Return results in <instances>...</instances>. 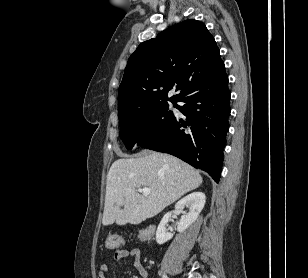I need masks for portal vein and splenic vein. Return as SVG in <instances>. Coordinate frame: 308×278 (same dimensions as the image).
I'll return each instance as SVG.
<instances>
[{"mask_svg": "<svg viewBox=\"0 0 308 278\" xmlns=\"http://www.w3.org/2000/svg\"><path fill=\"white\" fill-rule=\"evenodd\" d=\"M138 192H141L144 195H149L150 194V189L148 187H143L141 189H138Z\"/></svg>", "mask_w": 308, "mask_h": 278, "instance_id": "18ae733b", "label": "portal vein and splenic vein"}]
</instances>
